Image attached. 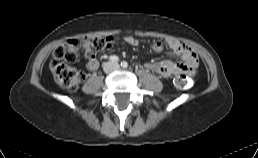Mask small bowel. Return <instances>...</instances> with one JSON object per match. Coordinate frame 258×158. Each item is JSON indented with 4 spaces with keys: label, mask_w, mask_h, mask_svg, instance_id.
<instances>
[{
    "label": "small bowel",
    "mask_w": 258,
    "mask_h": 158,
    "mask_svg": "<svg viewBox=\"0 0 258 158\" xmlns=\"http://www.w3.org/2000/svg\"><path fill=\"white\" fill-rule=\"evenodd\" d=\"M108 40L111 44L113 38L108 37ZM125 41L128 44L134 46L139 44L138 40L133 36L125 37ZM164 46L169 47L176 55L180 57L181 61L173 62L170 60H161L157 62H151L146 64L147 69L164 78L180 74L192 76L195 73V69L198 65V58L196 53L191 48L175 38H166L153 44L152 49L154 51H159ZM86 66L90 71H95L99 68V62L95 56L87 57Z\"/></svg>",
    "instance_id": "obj_1"
}]
</instances>
